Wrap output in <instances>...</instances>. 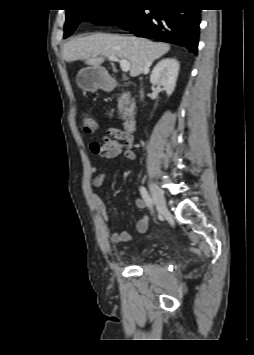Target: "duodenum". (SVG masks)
I'll list each match as a JSON object with an SVG mask.
<instances>
[{"instance_id":"410a0bca","label":"duodenum","mask_w":254,"mask_h":355,"mask_svg":"<svg viewBox=\"0 0 254 355\" xmlns=\"http://www.w3.org/2000/svg\"><path fill=\"white\" fill-rule=\"evenodd\" d=\"M117 84H114L116 86ZM125 86L132 87V84L126 83ZM124 129L127 133H133L136 129V119L135 116H130L126 119L124 123Z\"/></svg>"}]
</instances>
